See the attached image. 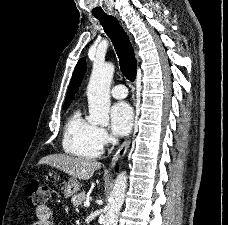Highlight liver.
Listing matches in <instances>:
<instances>
[{"mask_svg":"<svg viewBox=\"0 0 228 225\" xmlns=\"http://www.w3.org/2000/svg\"><path fill=\"white\" fill-rule=\"evenodd\" d=\"M38 165H50L56 167L63 173H68L74 179L88 181L93 177L95 171L101 169L102 163L92 161V159H83V157H69V155H48L40 159Z\"/></svg>","mask_w":228,"mask_h":225,"instance_id":"obj_1","label":"liver"}]
</instances>
